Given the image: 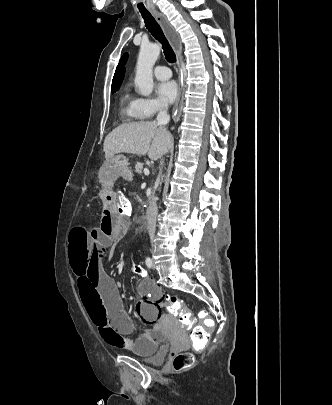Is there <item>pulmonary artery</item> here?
<instances>
[{"mask_svg": "<svg viewBox=\"0 0 332 405\" xmlns=\"http://www.w3.org/2000/svg\"><path fill=\"white\" fill-rule=\"evenodd\" d=\"M154 75L159 80H167L171 77V70L166 66H156L154 68Z\"/></svg>", "mask_w": 332, "mask_h": 405, "instance_id": "e3ab8cb5", "label": "pulmonary artery"}]
</instances>
